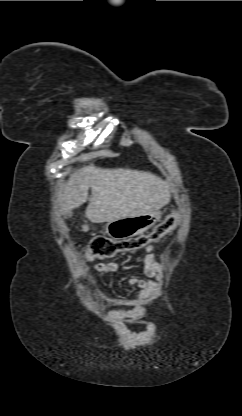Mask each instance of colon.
Returning a JSON list of instances; mask_svg holds the SVG:
<instances>
[{"instance_id":"5ec220e1","label":"colon","mask_w":242,"mask_h":416,"mask_svg":"<svg viewBox=\"0 0 242 416\" xmlns=\"http://www.w3.org/2000/svg\"><path fill=\"white\" fill-rule=\"evenodd\" d=\"M178 224L179 217L176 214H171L152 231L145 234L123 240H114L105 236L95 237L83 248V252L88 261L110 259L118 254L139 250L151 243L158 242L173 231Z\"/></svg>"}]
</instances>
